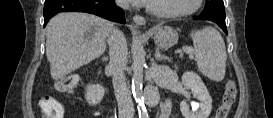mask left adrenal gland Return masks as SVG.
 Instances as JSON below:
<instances>
[{"instance_id": "a2214340", "label": "left adrenal gland", "mask_w": 273, "mask_h": 118, "mask_svg": "<svg viewBox=\"0 0 273 118\" xmlns=\"http://www.w3.org/2000/svg\"><path fill=\"white\" fill-rule=\"evenodd\" d=\"M155 59H156L157 61H161V60H166V57L160 54L159 49H156V52H155Z\"/></svg>"}]
</instances>
